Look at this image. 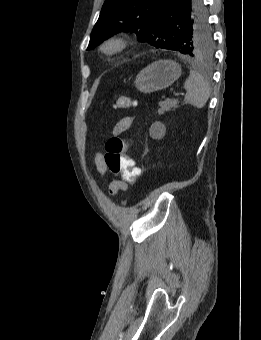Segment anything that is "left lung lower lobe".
Here are the masks:
<instances>
[{
	"label": "left lung lower lobe",
	"mask_w": 261,
	"mask_h": 340,
	"mask_svg": "<svg viewBox=\"0 0 261 340\" xmlns=\"http://www.w3.org/2000/svg\"><path fill=\"white\" fill-rule=\"evenodd\" d=\"M203 0H165L161 6L160 15L164 21L175 22L179 16L191 17ZM204 5V4H203Z\"/></svg>",
	"instance_id": "left-lung-lower-lobe-1"
}]
</instances>
